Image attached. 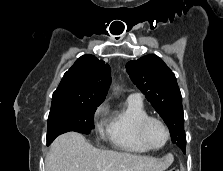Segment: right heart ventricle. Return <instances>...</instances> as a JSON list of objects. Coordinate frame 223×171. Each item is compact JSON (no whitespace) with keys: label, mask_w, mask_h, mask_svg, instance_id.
Masks as SVG:
<instances>
[{"label":"right heart ventricle","mask_w":223,"mask_h":171,"mask_svg":"<svg viewBox=\"0 0 223 171\" xmlns=\"http://www.w3.org/2000/svg\"><path fill=\"white\" fill-rule=\"evenodd\" d=\"M149 116L143 102L127 98L124 106L113 111L108 120L106 138L118 150L143 154L150 151L138 136L139 122Z\"/></svg>","instance_id":"e07e8e85"}]
</instances>
